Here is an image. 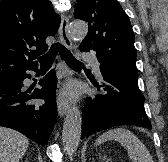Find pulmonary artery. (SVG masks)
Listing matches in <instances>:
<instances>
[{"instance_id": "1", "label": "pulmonary artery", "mask_w": 168, "mask_h": 162, "mask_svg": "<svg viewBox=\"0 0 168 162\" xmlns=\"http://www.w3.org/2000/svg\"><path fill=\"white\" fill-rule=\"evenodd\" d=\"M83 60L89 62L91 64V66L93 67L95 74L98 77H100V63H99V61L90 55H84Z\"/></svg>"}]
</instances>
